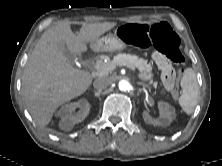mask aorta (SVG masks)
<instances>
[{"mask_svg":"<svg viewBox=\"0 0 222 166\" xmlns=\"http://www.w3.org/2000/svg\"><path fill=\"white\" fill-rule=\"evenodd\" d=\"M118 86H119V89L121 90V91H127V90H129L130 89V83L127 81V80H121L120 82H119V84H118Z\"/></svg>","mask_w":222,"mask_h":166,"instance_id":"1","label":"aorta"}]
</instances>
